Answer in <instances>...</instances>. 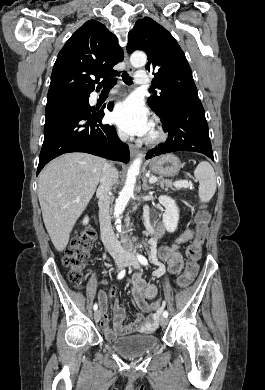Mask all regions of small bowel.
Instances as JSON below:
<instances>
[{
    "label": "small bowel",
    "instance_id": "obj_1",
    "mask_svg": "<svg viewBox=\"0 0 265 390\" xmlns=\"http://www.w3.org/2000/svg\"><path fill=\"white\" fill-rule=\"evenodd\" d=\"M203 228L204 227H202V231ZM197 230V227L195 229H187L172 245H162L157 249V258L167 263L168 271L170 273L177 274L182 270L183 257L180 246L193 239L197 234ZM163 233L164 229L160 226L157 229L156 236L160 237ZM130 282L132 284L133 298L142 312L136 314L134 320L130 323L125 324L127 313L116 303L117 289L115 287L111 289L108 295L104 291H100L98 294V300L103 308L101 328L108 340L128 333L147 334L156 330L158 327L159 315L153 312L152 307L148 302V300L153 299L157 295V287L144 279L139 273L134 274ZM109 303H113V327H110L106 313L107 305Z\"/></svg>",
    "mask_w": 265,
    "mask_h": 390
}]
</instances>
